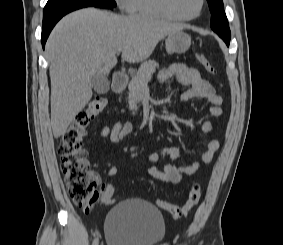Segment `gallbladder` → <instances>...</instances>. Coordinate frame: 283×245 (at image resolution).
Instances as JSON below:
<instances>
[{"mask_svg": "<svg viewBox=\"0 0 283 245\" xmlns=\"http://www.w3.org/2000/svg\"><path fill=\"white\" fill-rule=\"evenodd\" d=\"M91 84L97 93H106L109 89V81L107 77L100 72H97L92 76Z\"/></svg>", "mask_w": 283, "mask_h": 245, "instance_id": "bac80fb5", "label": "gallbladder"}]
</instances>
